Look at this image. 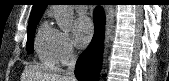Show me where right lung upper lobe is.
<instances>
[{
    "mask_svg": "<svg viewBox=\"0 0 169 81\" xmlns=\"http://www.w3.org/2000/svg\"><path fill=\"white\" fill-rule=\"evenodd\" d=\"M47 4L48 0H34V5L29 18V23L36 20H40Z\"/></svg>",
    "mask_w": 169,
    "mask_h": 81,
    "instance_id": "1",
    "label": "right lung upper lobe"
}]
</instances>
